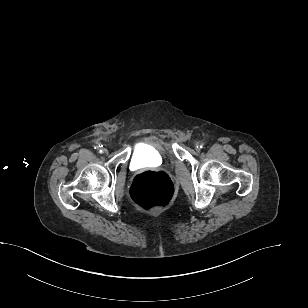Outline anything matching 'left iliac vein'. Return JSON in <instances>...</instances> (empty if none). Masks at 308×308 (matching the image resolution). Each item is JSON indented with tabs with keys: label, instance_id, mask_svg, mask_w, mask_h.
Here are the masks:
<instances>
[{
	"label": "left iliac vein",
	"instance_id": "obj_1",
	"mask_svg": "<svg viewBox=\"0 0 308 308\" xmlns=\"http://www.w3.org/2000/svg\"><path fill=\"white\" fill-rule=\"evenodd\" d=\"M199 144H200L199 142H196V144H195V148H196L197 151L200 150Z\"/></svg>",
	"mask_w": 308,
	"mask_h": 308
}]
</instances>
